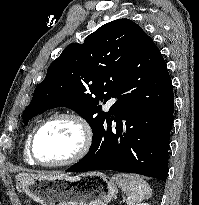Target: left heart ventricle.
<instances>
[{
    "mask_svg": "<svg viewBox=\"0 0 199 205\" xmlns=\"http://www.w3.org/2000/svg\"><path fill=\"white\" fill-rule=\"evenodd\" d=\"M80 142L81 130L73 121H54L38 134L35 154L42 162L64 160L75 153Z\"/></svg>",
    "mask_w": 199,
    "mask_h": 205,
    "instance_id": "obj_1",
    "label": "left heart ventricle"
}]
</instances>
